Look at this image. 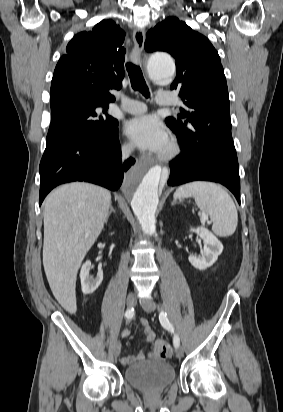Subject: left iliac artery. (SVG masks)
Returning <instances> with one entry per match:
<instances>
[{
    "label": "left iliac artery",
    "instance_id": "1",
    "mask_svg": "<svg viewBox=\"0 0 283 412\" xmlns=\"http://www.w3.org/2000/svg\"><path fill=\"white\" fill-rule=\"evenodd\" d=\"M159 321L165 329H167L171 333H174V328H173L172 324L170 323V321L168 320L167 314L164 310H161V312L159 314ZM173 344H174L175 348H177L180 345L179 336L175 333H174V338H173Z\"/></svg>",
    "mask_w": 283,
    "mask_h": 412
}]
</instances>
